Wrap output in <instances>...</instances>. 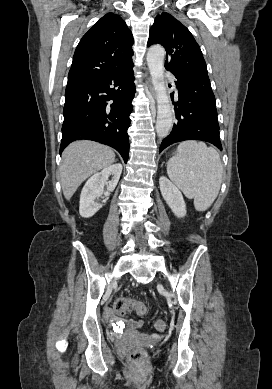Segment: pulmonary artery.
I'll return each mask as SVG.
<instances>
[{
	"label": "pulmonary artery",
	"instance_id": "e3ab8cb5",
	"mask_svg": "<svg viewBox=\"0 0 272 389\" xmlns=\"http://www.w3.org/2000/svg\"><path fill=\"white\" fill-rule=\"evenodd\" d=\"M166 75L170 79V81L174 84V75L170 72H167Z\"/></svg>",
	"mask_w": 272,
	"mask_h": 389
}]
</instances>
